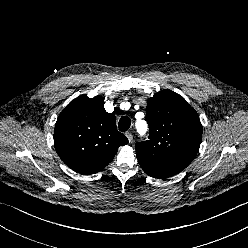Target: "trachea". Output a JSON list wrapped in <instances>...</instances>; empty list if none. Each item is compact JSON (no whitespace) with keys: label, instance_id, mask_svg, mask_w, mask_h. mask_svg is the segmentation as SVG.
Returning <instances> with one entry per match:
<instances>
[{"label":"trachea","instance_id":"1","mask_svg":"<svg viewBox=\"0 0 248 248\" xmlns=\"http://www.w3.org/2000/svg\"><path fill=\"white\" fill-rule=\"evenodd\" d=\"M130 125H131V120L129 117L123 116L120 118L119 124H118L120 131H122V132L127 131L129 129Z\"/></svg>","mask_w":248,"mask_h":248}]
</instances>
